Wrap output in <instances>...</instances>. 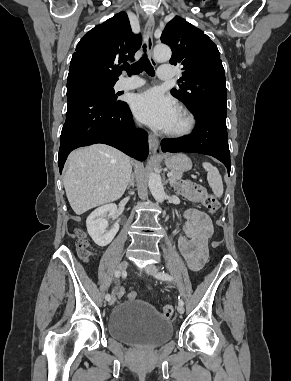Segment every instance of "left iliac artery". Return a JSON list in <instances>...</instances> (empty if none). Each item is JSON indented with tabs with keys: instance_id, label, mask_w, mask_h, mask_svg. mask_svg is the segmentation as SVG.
<instances>
[{
	"instance_id": "obj_1",
	"label": "left iliac artery",
	"mask_w": 291,
	"mask_h": 381,
	"mask_svg": "<svg viewBox=\"0 0 291 381\" xmlns=\"http://www.w3.org/2000/svg\"><path fill=\"white\" fill-rule=\"evenodd\" d=\"M154 276L160 280L173 281V277L164 271H161V272L155 274ZM178 299H179L180 304H184L183 299L180 296Z\"/></svg>"
}]
</instances>
